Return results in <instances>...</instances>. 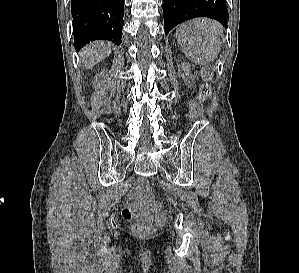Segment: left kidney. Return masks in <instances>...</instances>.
I'll use <instances>...</instances> for the list:
<instances>
[{
	"label": "left kidney",
	"mask_w": 299,
	"mask_h": 273,
	"mask_svg": "<svg viewBox=\"0 0 299 273\" xmlns=\"http://www.w3.org/2000/svg\"><path fill=\"white\" fill-rule=\"evenodd\" d=\"M182 66L185 68V71H186V83H187L188 87H192L193 86V81L191 80V76L189 75L191 65L184 62V63H182Z\"/></svg>",
	"instance_id": "1"
}]
</instances>
